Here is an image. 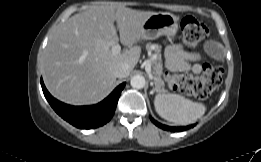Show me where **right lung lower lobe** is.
Returning a JSON list of instances; mask_svg holds the SVG:
<instances>
[{"instance_id": "1", "label": "right lung lower lobe", "mask_w": 261, "mask_h": 162, "mask_svg": "<svg viewBox=\"0 0 261 162\" xmlns=\"http://www.w3.org/2000/svg\"><path fill=\"white\" fill-rule=\"evenodd\" d=\"M41 86L47 101L64 120L80 129H92L106 124L113 116L125 83L120 84L102 102L91 106H71L55 99L47 91L43 80Z\"/></svg>"}]
</instances>
